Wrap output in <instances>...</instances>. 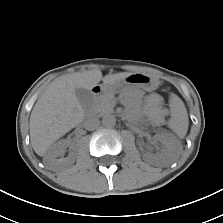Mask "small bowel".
Masks as SVG:
<instances>
[{
    "mask_svg": "<svg viewBox=\"0 0 223 223\" xmlns=\"http://www.w3.org/2000/svg\"><path fill=\"white\" fill-rule=\"evenodd\" d=\"M147 106L150 114L154 117H158L161 110V100L156 95H149L146 98Z\"/></svg>",
    "mask_w": 223,
    "mask_h": 223,
    "instance_id": "1",
    "label": "small bowel"
}]
</instances>
